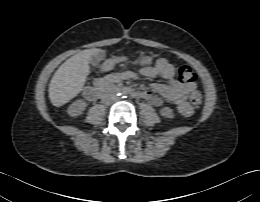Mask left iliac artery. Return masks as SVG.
<instances>
[{"instance_id":"left-iliac-artery-1","label":"left iliac artery","mask_w":260,"mask_h":202,"mask_svg":"<svg viewBox=\"0 0 260 202\" xmlns=\"http://www.w3.org/2000/svg\"><path fill=\"white\" fill-rule=\"evenodd\" d=\"M125 95H126V93H123V97H124V98L126 97Z\"/></svg>"}]
</instances>
